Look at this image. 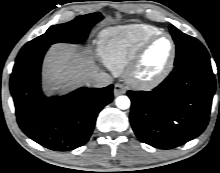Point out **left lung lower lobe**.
I'll list each match as a JSON object with an SVG mask.
<instances>
[{"label":"left lung lower lobe","mask_w":220,"mask_h":173,"mask_svg":"<svg viewBox=\"0 0 220 173\" xmlns=\"http://www.w3.org/2000/svg\"><path fill=\"white\" fill-rule=\"evenodd\" d=\"M214 92L215 77L205 60L175 67L153 91H128L136 136L160 149L198 137L207 126Z\"/></svg>","instance_id":"1"}]
</instances>
